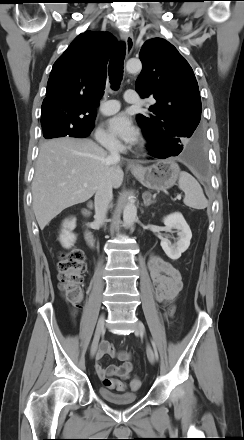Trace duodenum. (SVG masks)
<instances>
[{"label":"duodenum","instance_id":"1","mask_svg":"<svg viewBox=\"0 0 244 440\" xmlns=\"http://www.w3.org/2000/svg\"><path fill=\"white\" fill-rule=\"evenodd\" d=\"M90 206H88V207H86V208H84L83 210H82V215L85 217V218H88L89 216H90V213H91V211H90ZM84 234H85V238H86V241H87V243L90 245V246H94L95 245V243H96V237H95V235H94V233L86 226L85 227V232H84Z\"/></svg>","mask_w":244,"mask_h":440}]
</instances>
